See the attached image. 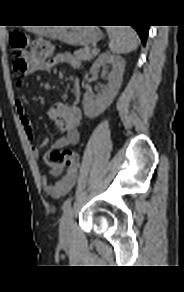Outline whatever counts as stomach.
Returning <instances> with one entry per match:
<instances>
[{"mask_svg":"<svg viewBox=\"0 0 184 292\" xmlns=\"http://www.w3.org/2000/svg\"><path fill=\"white\" fill-rule=\"evenodd\" d=\"M49 37L69 45L86 46L102 38L97 27H61L50 32Z\"/></svg>","mask_w":184,"mask_h":292,"instance_id":"1","label":"stomach"}]
</instances>
